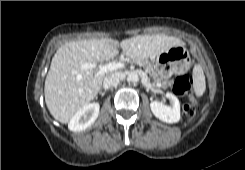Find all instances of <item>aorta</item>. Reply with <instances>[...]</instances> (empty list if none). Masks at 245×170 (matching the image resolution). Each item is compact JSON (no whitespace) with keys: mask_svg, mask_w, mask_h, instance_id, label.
Listing matches in <instances>:
<instances>
[{"mask_svg":"<svg viewBox=\"0 0 245 170\" xmlns=\"http://www.w3.org/2000/svg\"><path fill=\"white\" fill-rule=\"evenodd\" d=\"M127 81H128V83H136V82H138L139 81L138 74L135 73V72H132V73L128 74Z\"/></svg>","mask_w":245,"mask_h":170,"instance_id":"obj_1","label":"aorta"}]
</instances>
